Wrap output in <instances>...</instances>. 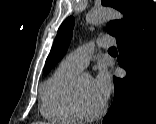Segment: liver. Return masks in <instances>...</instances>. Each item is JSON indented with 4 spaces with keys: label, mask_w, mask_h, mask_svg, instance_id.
<instances>
[{
    "label": "liver",
    "mask_w": 156,
    "mask_h": 124,
    "mask_svg": "<svg viewBox=\"0 0 156 124\" xmlns=\"http://www.w3.org/2000/svg\"><path fill=\"white\" fill-rule=\"evenodd\" d=\"M34 124H45V123H42V122H36V123H34Z\"/></svg>",
    "instance_id": "6515ba94"
}]
</instances>
